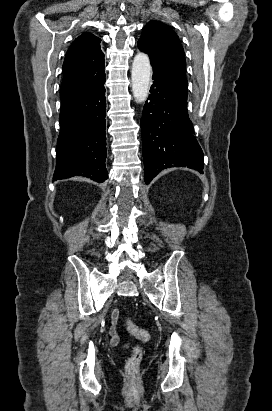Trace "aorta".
<instances>
[{
  "label": "aorta",
  "instance_id": "762f6f07",
  "mask_svg": "<svg viewBox=\"0 0 272 411\" xmlns=\"http://www.w3.org/2000/svg\"><path fill=\"white\" fill-rule=\"evenodd\" d=\"M150 76L149 57L144 53H138L134 57L131 71L132 92L137 103L144 102L148 96Z\"/></svg>",
  "mask_w": 272,
  "mask_h": 411
}]
</instances>
